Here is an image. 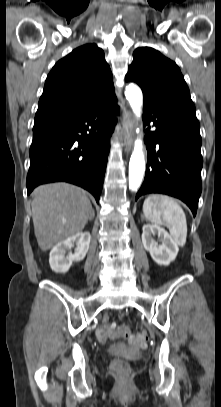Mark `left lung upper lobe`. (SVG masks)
I'll list each match as a JSON object with an SVG mask.
<instances>
[{
    "label": "left lung upper lobe",
    "instance_id": "1",
    "mask_svg": "<svg viewBox=\"0 0 221 407\" xmlns=\"http://www.w3.org/2000/svg\"><path fill=\"white\" fill-rule=\"evenodd\" d=\"M125 80L141 87L144 104L193 103L179 67L153 48L140 47L134 51Z\"/></svg>",
    "mask_w": 221,
    "mask_h": 407
}]
</instances>
